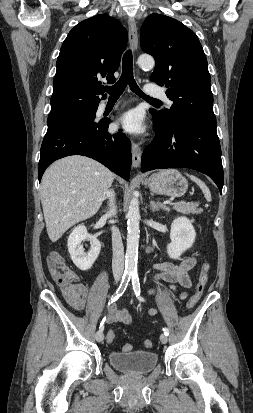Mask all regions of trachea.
I'll use <instances>...</instances> for the list:
<instances>
[{
	"mask_svg": "<svg viewBox=\"0 0 253 413\" xmlns=\"http://www.w3.org/2000/svg\"><path fill=\"white\" fill-rule=\"evenodd\" d=\"M127 85H129L130 89L139 97L150 102L161 103L160 100L145 95L136 84V81L133 77V57L130 50L126 51L123 56L122 74L120 79L113 86L105 87L104 91H106L110 95L109 98H119L120 95L124 92Z\"/></svg>",
	"mask_w": 253,
	"mask_h": 413,
	"instance_id": "obj_1",
	"label": "trachea"
}]
</instances>
